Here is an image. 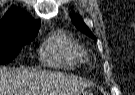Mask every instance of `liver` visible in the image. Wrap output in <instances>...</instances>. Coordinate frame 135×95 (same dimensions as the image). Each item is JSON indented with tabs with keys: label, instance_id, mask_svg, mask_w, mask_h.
I'll use <instances>...</instances> for the list:
<instances>
[{
	"label": "liver",
	"instance_id": "1",
	"mask_svg": "<svg viewBox=\"0 0 135 95\" xmlns=\"http://www.w3.org/2000/svg\"><path fill=\"white\" fill-rule=\"evenodd\" d=\"M87 82L58 72L0 66V95H79Z\"/></svg>",
	"mask_w": 135,
	"mask_h": 95
}]
</instances>
